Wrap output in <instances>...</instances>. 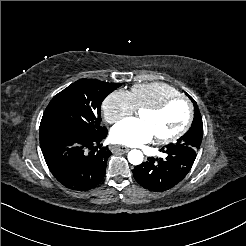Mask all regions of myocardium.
<instances>
[{
    "instance_id": "1",
    "label": "myocardium",
    "mask_w": 246,
    "mask_h": 246,
    "mask_svg": "<svg viewBox=\"0 0 246 246\" xmlns=\"http://www.w3.org/2000/svg\"><path fill=\"white\" fill-rule=\"evenodd\" d=\"M176 101H182L186 105L187 113H186L185 121L182 127L179 130H177L175 133L166 137H156L157 142L160 144H168L176 141L189 129L193 119V107L191 102L185 96L181 94H177L175 96L163 100L159 104L146 107L142 110V111L150 112L152 114H158L164 111L169 105H171Z\"/></svg>"
}]
</instances>
